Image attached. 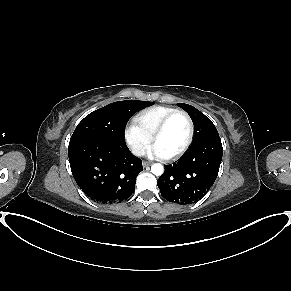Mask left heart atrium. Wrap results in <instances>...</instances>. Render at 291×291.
<instances>
[{"instance_id":"left-heart-atrium-1","label":"left heart atrium","mask_w":291,"mask_h":291,"mask_svg":"<svg viewBox=\"0 0 291 291\" xmlns=\"http://www.w3.org/2000/svg\"><path fill=\"white\" fill-rule=\"evenodd\" d=\"M147 153L150 156L156 157V158H167L168 155L165 154V152L156 144H154L152 147L149 148Z\"/></svg>"}]
</instances>
